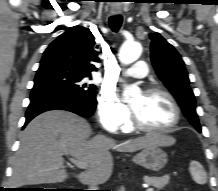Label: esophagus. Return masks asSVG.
I'll use <instances>...</instances> for the list:
<instances>
[{
    "mask_svg": "<svg viewBox=\"0 0 218 191\" xmlns=\"http://www.w3.org/2000/svg\"><path fill=\"white\" fill-rule=\"evenodd\" d=\"M112 14L118 15L121 13V9L119 7H113L111 10Z\"/></svg>",
    "mask_w": 218,
    "mask_h": 191,
    "instance_id": "esophagus-1",
    "label": "esophagus"
}]
</instances>
